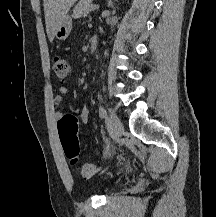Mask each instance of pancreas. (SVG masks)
<instances>
[{
  "instance_id": "pancreas-1",
  "label": "pancreas",
  "mask_w": 216,
  "mask_h": 217,
  "mask_svg": "<svg viewBox=\"0 0 216 217\" xmlns=\"http://www.w3.org/2000/svg\"><path fill=\"white\" fill-rule=\"evenodd\" d=\"M92 0H80L73 10V18L86 17L91 10Z\"/></svg>"
}]
</instances>
